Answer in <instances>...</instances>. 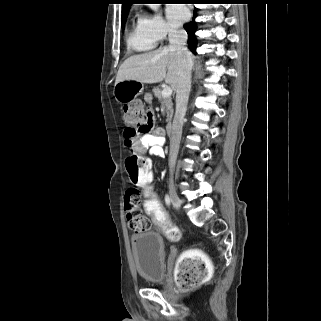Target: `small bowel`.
Returning <instances> with one entry per match:
<instances>
[{
    "instance_id": "small-bowel-1",
    "label": "small bowel",
    "mask_w": 321,
    "mask_h": 321,
    "mask_svg": "<svg viewBox=\"0 0 321 321\" xmlns=\"http://www.w3.org/2000/svg\"><path fill=\"white\" fill-rule=\"evenodd\" d=\"M146 101L150 102V98H147ZM164 141V132L161 128H156L152 132L142 136H133L126 131L124 132L125 147L129 152H134L136 154H143L149 151L151 154L161 155Z\"/></svg>"
}]
</instances>
